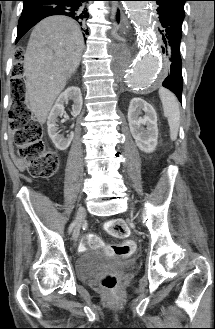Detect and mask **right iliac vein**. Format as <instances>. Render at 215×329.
I'll return each instance as SVG.
<instances>
[{
  "mask_svg": "<svg viewBox=\"0 0 215 329\" xmlns=\"http://www.w3.org/2000/svg\"><path fill=\"white\" fill-rule=\"evenodd\" d=\"M84 215H85V209L80 208L78 213H77V217H76V221H75V228H74L73 234H72V237H73L74 241H76L78 236H79L80 228H81V224H82V220H83Z\"/></svg>",
  "mask_w": 215,
  "mask_h": 329,
  "instance_id": "obj_1",
  "label": "right iliac vein"
}]
</instances>
